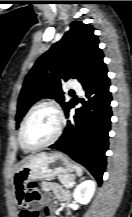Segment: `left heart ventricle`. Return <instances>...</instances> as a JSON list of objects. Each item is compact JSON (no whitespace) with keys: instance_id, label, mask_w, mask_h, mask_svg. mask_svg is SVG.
<instances>
[{"instance_id":"left-heart-ventricle-1","label":"left heart ventricle","mask_w":132,"mask_h":217,"mask_svg":"<svg viewBox=\"0 0 132 217\" xmlns=\"http://www.w3.org/2000/svg\"><path fill=\"white\" fill-rule=\"evenodd\" d=\"M57 126L58 117L53 109H38L27 123L24 135L26 143L37 146L49 141L54 136Z\"/></svg>"}]
</instances>
